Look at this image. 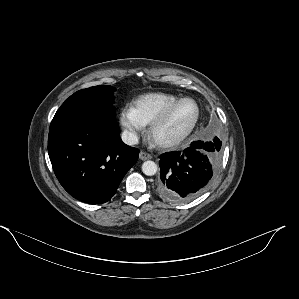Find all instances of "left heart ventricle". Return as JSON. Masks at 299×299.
Instances as JSON below:
<instances>
[{
  "instance_id": "obj_1",
  "label": "left heart ventricle",
  "mask_w": 299,
  "mask_h": 299,
  "mask_svg": "<svg viewBox=\"0 0 299 299\" xmlns=\"http://www.w3.org/2000/svg\"><path fill=\"white\" fill-rule=\"evenodd\" d=\"M196 115V107L191 101H184L171 113L167 121L157 130L160 140L174 138L185 132Z\"/></svg>"
}]
</instances>
